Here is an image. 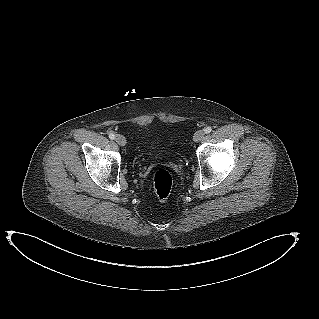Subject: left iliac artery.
<instances>
[{"label": "left iliac artery", "instance_id": "1", "mask_svg": "<svg viewBox=\"0 0 319 319\" xmlns=\"http://www.w3.org/2000/svg\"><path fill=\"white\" fill-rule=\"evenodd\" d=\"M212 131V128L211 127H206L204 129V132L207 134V133H210Z\"/></svg>", "mask_w": 319, "mask_h": 319}]
</instances>
